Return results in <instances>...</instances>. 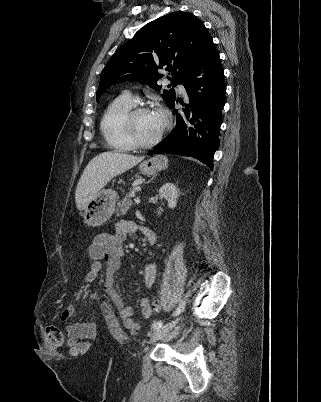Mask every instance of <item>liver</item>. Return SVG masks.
I'll use <instances>...</instances> for the list:
<instances>
[{"label": "liver", "mask_w": 321, "mask_h": 402, "mask_svg": "<svg viewBox=\"0 0 321 402\" xmlns=\"http://www.w3.org/2000/svg\"><path fill=\"white\" fill-rule=\"evenodd\" d=\"M144 157H137L117 151H107L94 157L84 169L75 192L79 210H84L89 201L112 178L131 169Z\"/></svg>", "instance_id": "1"}]
</instances>
